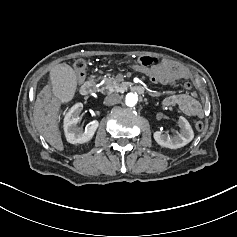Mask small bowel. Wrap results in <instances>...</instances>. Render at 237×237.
I'll list each match as a JSON object with an SVG mask.
<instances>
[{"mask_svg": "<svg viewBox=\"0 0 237 237\" xmlns=\"http://www.w3.org/2000/svg\"><path fill=\"white\" fill-rule=\"evenodd\" d=\"M134 69L148 77L151 75L150 70L139 66L137 63L134 65ZM161 70L169 78V83H173L180 79L190 78L189 72L184 67L177 65L174 62L163 61ZM81 80L82 77H79V81ZM184 87L187 90H190L192 85L189 81H186ZM163 104L165 106H177L182 112L191 117L202 118L205 115V111L195 92L170 95L164 99Z\"/></svg>", "mask_w": 237, "mask_h": 237, "instance_id": "small-bowel-1", "label": "small bowel"}]
</instances>
